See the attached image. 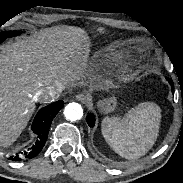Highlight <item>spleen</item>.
I'll return each mask as SVG.
<instances>
[{"label":"spleen","instance_id":"3e777b00","mask_svg":"<svg viewBox=\"0 0 183 183\" xmlns=\"http://www.w3.org/2000/svg\"><path fill=\"white\" fill-rule=\"evenodd\" d=\"M160 117V108L156 104L140 103L122 119L105 117L102 133L116 153L126 159H135L144 155L155 143Z\"/></svg>","mask_w":183,"mask_h":183}]
</instances>
